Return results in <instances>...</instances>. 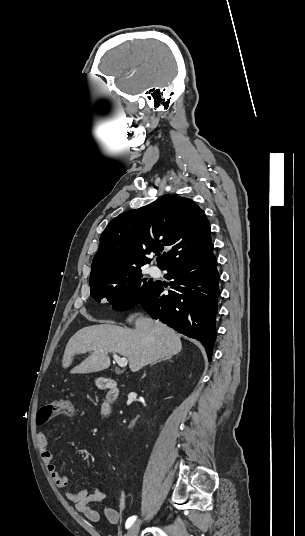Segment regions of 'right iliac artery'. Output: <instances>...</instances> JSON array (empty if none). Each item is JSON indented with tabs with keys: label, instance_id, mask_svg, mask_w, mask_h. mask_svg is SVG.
Here are the masks:
<instances>
[{
	"label": "right iliac artery",
	"instance_id": "1",
	"mask_svg": "<svg viewBox=\"0 0 305 536\" xmlns=\"http://www.w3.org/2000/svg\"><path fill=\"white\" fill-rule=\"evenodd\" d=\"M136 518H137L136 516H131V517H129V518L127 519L126 524H125V526H126L127 529H128L129 527H131V525L135 522Z\"/></svg>",
	"mask_w": 305,
	"mask_h": 536
}]
</instances>
